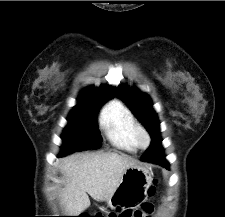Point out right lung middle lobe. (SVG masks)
<instances>
[{"label":"right lung middle lobe","instance_id":"right-lung-middle-lobe-1","mask_svg":"<svg viewBox=\"0 0 225 217\" xmlns=\"http://www.w3.org/2000/svg\"><path fill=\"white\" fill-rule=\"evenodd\" d=\"M108 99L80 98L68 117L62 140L64 156L75 151L97 149L101 146V136L96 123L97 111Z\"/></svg>","mask_w":225,"mask_h":217}]
</instances>
